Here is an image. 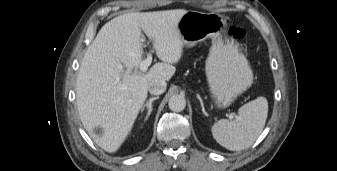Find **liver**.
Segmentation results:
<instances>
[{
  "label": "liver",
  "instance_id": "liver-1",
  "mask_svg": "<svg viewBox=\"0 0 337 171\" xmlns=\"http://www.w3.org/2000/svg\"><path fill=\"white\" fill-rule=\"evenodd\" d=\"M185 9L132 12L107 22L88 47L81 62L76 101L80 119L107 152L117 151L127 138L147 99L149 83L168 81L183 54L177 25ZM152 40L158 62L144 73L142 34ZM122 65V68L120 67ZM101 127L103 135L94 134Z\"/></svg>",
  "mask_w": 337,
  "mask_h": 171
}]
</instances>
